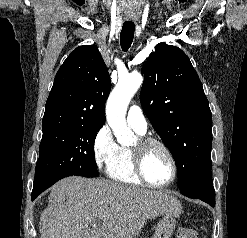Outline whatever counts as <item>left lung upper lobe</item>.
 I'll return each mask as SVG.
<instances>
[{
  "label": "left lung upper lobe",
  "instance_id": "1",
  "mask_svg": "<svg viewBox=\"0 0 247 238\" xmlns=\"http://www.w3.org/2000/svg\"><path fill=\"white\" fill-rule=\"evenodd\" d=\"M140 102L176 162L180 191L195 198L213 186L212 114L188 56L160 43L142 68Z\"/></svg>",
  "mask_w": 247,
  "mask_h": 238
}]
</instances>
